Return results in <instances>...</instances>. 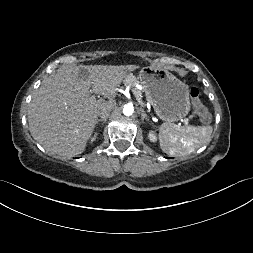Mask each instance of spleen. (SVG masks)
I'll use <instances>...</instances> for the list:
<instances>
[{"mask_svg": "<svg viewBox=\"0 0 253 253\" xmlns=\"http://www.w3.org/2000/svg\"><path fill=\"white\" fill-rule=\"evenodd\" d=\"M212 126H183L164 123L159 130L161 149L170 156L186 155L207 144Z\"/></svg>", "mask_w": 253, "mask_h": 253, "instance_id": "obj_1", "label": "spleen"}]
</instances>
